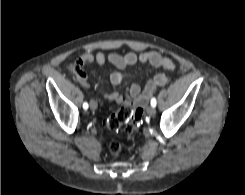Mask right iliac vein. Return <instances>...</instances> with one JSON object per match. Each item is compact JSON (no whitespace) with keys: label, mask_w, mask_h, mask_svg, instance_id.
<instances>
[{"label":"right iliac vein","mask_w":245,"mask_h":195,"mask_svg":"<svg viewBox=\"0 0 245 195\" xmlns=\"http://www.w3.org/2000/svg\"><path fill=\"white\" fill-rule=\"evenodd\" d=\"M90 108L92 110H96L97 109V103L94 100H91V102H90Z\"/></svg>","instance_id":"right-iliac-vein-1"}]
</instances>
